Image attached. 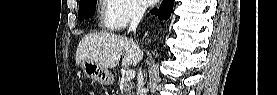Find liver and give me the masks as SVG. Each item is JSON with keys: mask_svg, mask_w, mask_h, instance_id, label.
I'll list each match as a JSON object with an SVG mask.
<instances>
[{"mask_svg": "<svg viewBox=\"0 0 277 95\" xmlns=\"http://www.w3.org/2000/svg\"><path fill=\"white\" fill-rule=\"evenodd\" d=\"M122 59V65L129 67L140 61L136 44L132 39L110 32L85 35L76 50V64L83 60L94 61L105 69L116 67Z\"/></svg>", "mask_w": 277, "mask_h": 95, "instance_id": "6515ba94", "label": "liver"}]
</instances>
